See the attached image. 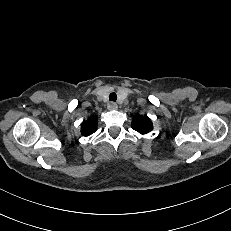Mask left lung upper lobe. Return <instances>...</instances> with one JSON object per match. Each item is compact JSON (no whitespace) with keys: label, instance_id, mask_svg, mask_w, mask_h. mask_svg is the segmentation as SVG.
<instances>
[{"label":"left lung upper lobe","instance_id":"left-lung-upper-lobe-1","mask_svg":"<svg viewBox=\"0 0 231 231\" xmlns=\"http://www.w3.org/2000/svg\"><path fill=\"white\" fill-rule=\"evenodd\" d=\"M131 127L141 134H146L153 129L152 122L149 117L141 116L139 114L133 117Z\"/></svg>","mask_w":231,"mask_h":231}]
</instances>
